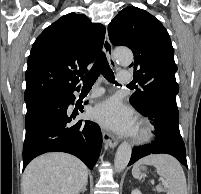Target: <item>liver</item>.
<instances>
[{
    "label": "liver",
    "mask_w": 201,
    "mask_h": 194,
    "mask_svg": "<svg viewBox=\"0 0 201 194\" xmlns=\"http://www.w3.org/2000/svg\"><path fill=\"white\" fill-rule=\"evenodd\" d=\"M88 169L66 153H47L32 160L22 176L23 194H79L87 185Z\"/></svg>",
    "instance_id": "obj_1"
}]
</instances>
